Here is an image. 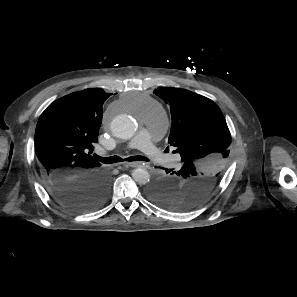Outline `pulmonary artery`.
<instances>
[{"instance_id": "obj_1", "label": "pulmonary artery", "mask_w": 297, "mask_h": 297, "mask_svg": "<svg viewBox=\"0 0 297 297\" xmlns=\"http://www.w3.org/2000/svg\"><path fill=\"white\" fill-rule=\"evenodd\" d=\"M165 129V124L154 119H148L143 128L131 141L129 147L142 151L146 156L158 163H172L177 160L176 157L169 158L163 156L159 148L154 144L153 139Z\"/></svg>"}]
</instances>
